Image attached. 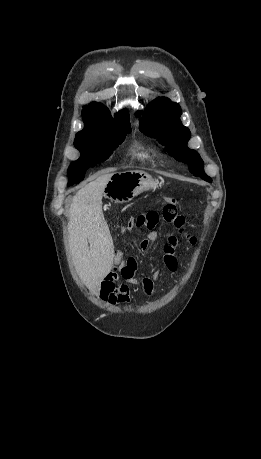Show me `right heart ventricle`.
Instances as JSON below:
<instances>
[{"mask_svg": "<svg viewBox=\"0 0 261 459\" xmlns=\"http://www.w3.org/2000/svg\"><path fill=\"white\" fill-rule=\"evenodd\" d=\"M131 157L139 162H150L156 161V154L149 147L135 143L131 149Z\"/></svg>", "mask_w": 261, "mask_h": 459, "instance_id": "obj_1", "label": "right heart ventricle"}]
</instances>
